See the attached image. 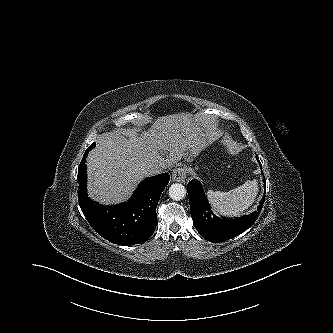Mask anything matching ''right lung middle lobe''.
Here are the masks:
<instances>
[{
    "label": "right lung middle lobe",
    "instance_id": "obj_1",
    "mask_svg": "<svg viewBox=\"0 0 333 333\" xmlns=\"http://www.w3.org/2000/svg\"><path fill=\"white\" fill-rule=\"evenodd\" d=\"M95 147V143H93L92 145H90V147L89 148H94Z\"/></svg>",
    "mask_w": 333,
    "mask_h": 333
}]
</instances>
